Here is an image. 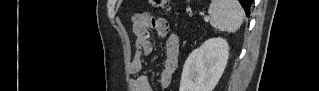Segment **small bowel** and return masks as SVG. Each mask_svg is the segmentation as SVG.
<instances>
[{"instance_id":"c3829d8e","label":"small bowel","mask_w":319,"mask_h":91,"mask_svg":"<svg viewBox=\"0 0 319 91\" xmlns=\"http://www.w3.org/2000/svg\"><path fill=\"white\" fill-rule=\"evenodd\" d=\"M154 30L160 37L165 38L164 60L159 84L166 89L178 66L180 40L176 33L172 32L164 18L156 17L148 13H138L133 16V32L136 38V51L130 63V72L137 74L142 69V58L153 52V44L150 40L149 30ZM133 91H153L149 79L145 75H138L132 79Z\"/></svg>"}]
</instances>
